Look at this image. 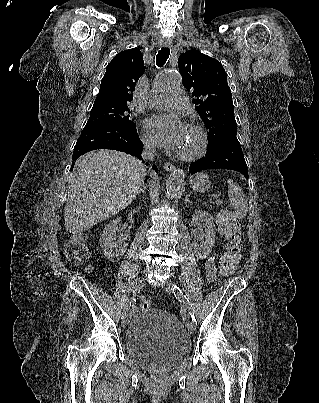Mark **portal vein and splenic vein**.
<instances>
[{
  "instance_id": "portal-vein-and-splenic-vein-1",
  "label": "portal vein and splenic vein",
  "mask_w": 319,
  "mask_h": 403,
  "mask_svg": "<svg viewBox=\"0 0 319 403\" xmlns=\"http://www.w3.org/2000/svg\"><path fill=\"white\" fill-rule=\"evenodd\" d=\"M213 197L216 199L215 200L216 204H220V201H219L218 197L216 195H213Z\"/></svg>"
}]
</instances>
